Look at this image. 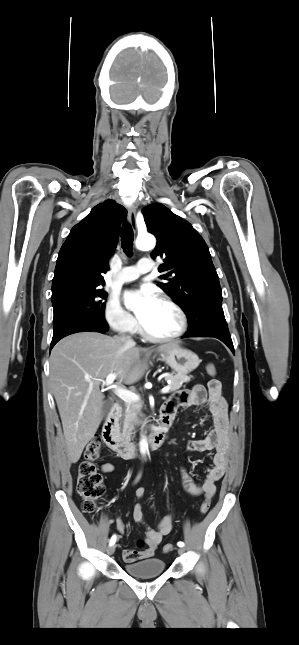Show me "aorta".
<instances>
[{"label": "aorta", "instance_id": "aorta-1", "mask_svg": "<svg viewBox=\"0 0 299 645\" xmlns=\"http://www.w3.org/2000/svg\"><path fill=\"white\" fill-rule=\"evenodd\" d=\"M155 244H156V240L154 236L150 234L138 236L136 240V247L140 250H151L155 247ZM127 305H129L132 309H136L138 306L136 302H131V303L127 302ZM146 450H147V441L143 437L140 441V451L142 454H145Z\"/></svg>", "mask_w": 299, "mask_h": 645}]
</instances>
